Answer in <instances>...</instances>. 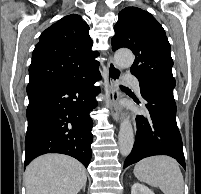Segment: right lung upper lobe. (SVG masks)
Wrapping results in <instances>:
<instances>
[{
    "mask_svg": "<svg viewBox=\"0 0 201 194\" xmlns=\"http://www.w3.org/2000/svg\"><path fill=\"white\" fill-rule=\"evenodd\" d=\"M92 44L89 26L80 16L63 17L40 35L29 67V84L87 77L99 65L94 60L99 53L91 50Z\"/></svg>",
    "mask_w": 201,
    "mask_h": 194,
    "instance_id": "cb5924a9",
    "label": "right lung upper lobe"
}]
</instances>
